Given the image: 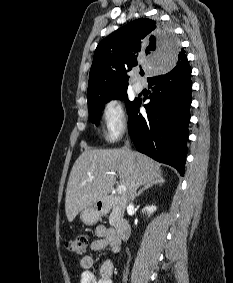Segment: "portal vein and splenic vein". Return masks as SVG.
I'll return each mask as SVG.
<instances>
[{
	"mask_svg": "<svg viewBox=\"0 0 233 283\" xmlns=\"http://www.w3.org/2000/svg\"><path fill=\"white\" fill-rule=\"evenodd\" d=\"M106 174H113V175H115V172H107ZM92 178H93V177H92ZM125 190H126V188H125V186L122 185V184L117 187V192H118L119 194H122L123 192H125Z\"/></svg>",
	"mask_w": 233,
	"mask_h": 283,
	"instance_id": "obj_1",
	"label": "portal vein and splenic vein"
}]
</instances>
